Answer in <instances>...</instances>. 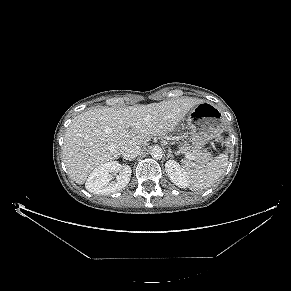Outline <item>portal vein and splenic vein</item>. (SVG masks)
<instances>
[{
    "label": "portal vein and splenic vein",
    "instance_id": "1",
    "mask_svg": "<svg viewBox=\"0 0 291 291\" xmlns=\"http://www.w3.org/2000/svg\"><path fill=\"white\" fill-rule=\"evenodd\" d=\"M186 158H188L189 160H195V156H193L190 153H185Z\"/></svg>",
    "mask_w": 291,
    "mask_h": 291
}]
</instances>
